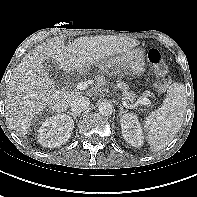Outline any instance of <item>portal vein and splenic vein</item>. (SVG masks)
<instances>
[{"mask_svg": "<svg viewBox=\"0 0 197 197\" xmlns=\"http://www.w3.org/2000/svg\"><path fill=\"white\" fill-rule=\"evenodd\" d=\"M87 88H88V83L87 82H80V83L77 84V89L78 90H86ZM139 104L150 106L151 102L148 98H143L139 101Z\"/></svg>", "mask_w": 197, "mask_h": 197, "instance_id": "portal-vein-and-splenic-vein-1", "label": "portal vein and splenic vein"}]
</instances>
